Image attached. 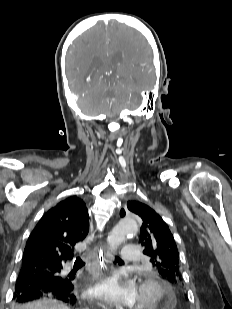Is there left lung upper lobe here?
I'll use <instances>...</instances> for the list:
<instances>
[{"label":"left lung upper lobe","instance_id":"1","mask_svg":"<svg viewBox=\"0 0 232 309\" xmlns=\"http://www.w3.org/2000/svg\"><path fill=\"white\" fill-rule=\"evenodd\" d=\"M127 208L142 220L139 243L144 248L143 253L150 257V262L165 280L180 284L179 252L168 225L153 209L141 202L129 201ZM125 214V210L121 209L120 216Z\"/></svg>","mask_w":232,"mask_h":309}]
</instances>
